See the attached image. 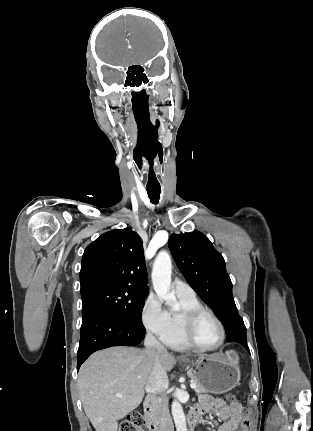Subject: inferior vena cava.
I'll return each instance as SVG.
<instances>
[{"label":"inferior vena cava","instance_id":"1","mask_svg":"<svg viewBox=\"0 0 313 431\" xmlns=\"http://www.w3.org/2000/svg\"><path fill=\"white\" fill-rule=\"evenodd\" d=\"M144 345L153 356L152 370L145 385V389L149 393L147 402L159 416L160 431H174L167 402L162 395L167 385L168 377L161 365L160 356L166 354L167 350L150 332L146 334Z\"/></svg>","mask_w":313,"mask_h":431}]
</instances>
